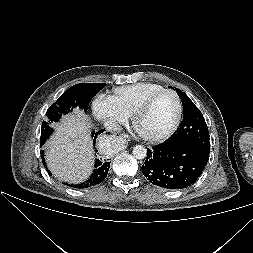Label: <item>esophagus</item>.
<instances>
[{
  "mask_svg": "<svg viewBox=\"0 0 253 253\" xmlns=\"http://www.w3.org/2000/svg\"><path fill=\"white\" fill-rule=\"evenodd\" d=\"M117 137H119L120 139H125V140L128 138V136L125 134H119Z\"/></svg>",
  "mask_w": 253,
  "mask_h": 253,
  "instance_id": "34e87169",
  "label": "esophagus"
}]
</instances>
